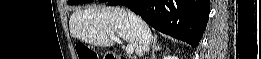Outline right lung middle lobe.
Segmentation results:
<instances>
[{"label": "right lung middle lobe", "instance_id": "1", "mask_svg": "<svg viewBox=\"0 0 261 59\" xmlns=\"http://www.w3.org/2000/svg\"><path fill=\"white\" fill-rule=\"evenodd\" d=\"M101 2H106L107 0H99ZM93 2V0H70L67 2L69 5H74V4H82V3H89Z\"/></svg>", "mask_w": 261, "mask_h": 59}]
</instances>
